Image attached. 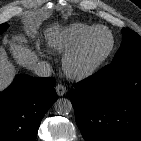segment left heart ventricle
<instances>
[{
  "mask_svg": "<svg viewBox=\"0 0 141 141\" xmlns=\"http://www.w3.org/2000/svg\"><path fill=\"white\" fill-rule=\"evenodd\" d=\"M110 36L106 31L95 32L86 43L80 60L82 63H90L102 56L108 49Z\"/></svg>",
  "mask_w": 141,
  "mask_h": 141,
  "instance_id": "left-heart-ventricle-1",
  "label": "left heart ventricle"
}]
</instances>
